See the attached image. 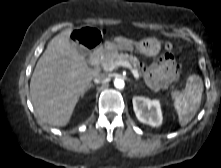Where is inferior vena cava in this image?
Segmentation results:
<instances>
[{"label":"inferior vena cava","mask_w":221,"mask_h":168,"mask_svg":"<svg viewBox=\"0 0 221 168\" xmlns=\"http://www.w3.org/2000/svg\"><path fill=\"white\" fill-rule=\"evenodd\" d=\"M107 80V75L105 73H100V74H97L95 77H94V82L95 83H101V82H104Z\"/></svg>","instance_id":"602c4592"}]
</instances>
